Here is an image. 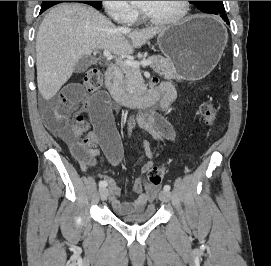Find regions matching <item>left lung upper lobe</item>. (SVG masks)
I'll return each instance as SVG.
<instances>
[{"label": "left lung upper lobe", "mask_w": 271, "mask_h": 266, "mask_svg": "<svg viewBox=\"0 0 271 266\" xmlns=\"http://www.w3.org/2000/svg\"><path fill=\"white\" fill-rule=\"evenodd\" d=\"M192 2L197 9L204 13L222 15L225 14L223 1H189Z\"/></svg>", "instance_id": "obj_1"}]
</instances>
